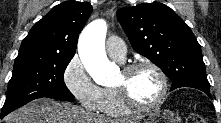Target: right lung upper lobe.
Segmentation results:
<instances>
[{"mask_svg":"<svg viewBox=\"0 0 221 123\" xmlns=\"http://www.w3.org/2000/svg\"><path fill=\"white\" fill-rule=\"evenodd\" d=\"M92 10L89 2L66 1L55 6L35 23L19 52L74 55L79 34Z\"/></svg>","mask_w":221,"mask_h":123,"instance_id":"1","label":"right lung upper lobe"}]
</instances>
